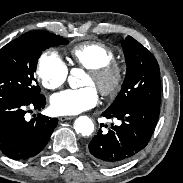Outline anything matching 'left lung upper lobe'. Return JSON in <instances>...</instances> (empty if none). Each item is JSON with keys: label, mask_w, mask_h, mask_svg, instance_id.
Segmentation results:
<instances>
[{"label": "left lung upper lobe", "mask_w": 183, "mask_h": 183, "mask_svg": "<svg viewBox=\"0 0 183 183\" xmlns=\"http://www.w3.org/2000/svg\"><path fill=\"white\" fill-rule=\"evenodd\" d=\"M125 60L126 76L122 89L107 109L118 110L126 105L142 103L160 105V70L155 57L131 36L121 42Z\"/></svg>", "instance_id": "obj_1"}]
</instances>
